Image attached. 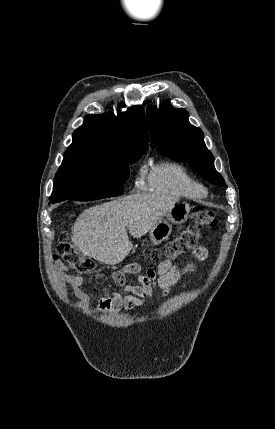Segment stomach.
Listing matches in <instances>:
<instances>
[{"label":"stomach","instance_id":"1","mask_svg":"<svg viewBox=\"0 0 275 429\" xmlns=\"http://www.w3.org/2000/svg\"><path fill=\"white\" fill-rule=\"evenodd\" d=\"M190 212L189 204L177 201L172 208L151 228L149 234L153 244H160L167 239L172 232V224L184 223Z\"/></svg>","mask_w":275,"mask_h":429}]
</instances>
